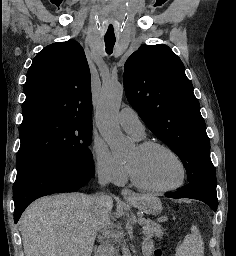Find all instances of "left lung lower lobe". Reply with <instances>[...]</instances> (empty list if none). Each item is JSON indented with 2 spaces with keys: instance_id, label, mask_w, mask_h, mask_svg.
Segmentation results:
<instances>
[{
  "instance_id": "1",
  "label": "left lung lower lobe",
  "mask_w": 236,
  "mask_h": 256,
  "mask_svg": "<svg viewBox=\"0 0 236 256\" xmlns=\"http://www.w3.org/2000/svg\"><path fill=\"white\" fill-rule=\"evenodd\" d=\"M165 196L170 198L197 199L206 203L213 211H216L218 206L216 185L206 182L189 183L179 191L168 193Z\"/></svg>"
}]
</instances>
